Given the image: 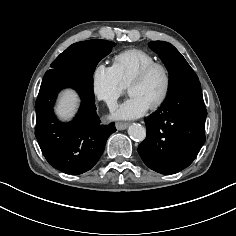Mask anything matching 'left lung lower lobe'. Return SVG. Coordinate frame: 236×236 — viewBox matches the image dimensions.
I'll use <instances>...</instances> for the list:
<instances>
[{
    "mask_svg": "<svg viewBox=\"0 0 236 236\" xmlns=\"http://www.w3.org/2000/svg\"><path fill=\"white\" fill-rule=\"evenodd\" d=\"M206 116L199 79L178 85L159 110L144 120L147 136L138 147L144 163L161 174L188 167L205 142Z\"/></svg>",
    "mask_w": 236,
    "mask_h": 236,
    "instance_id": "1",
    "label": "left lung lower lobe"
}]
</instances>
